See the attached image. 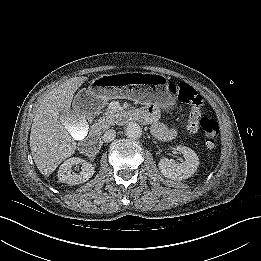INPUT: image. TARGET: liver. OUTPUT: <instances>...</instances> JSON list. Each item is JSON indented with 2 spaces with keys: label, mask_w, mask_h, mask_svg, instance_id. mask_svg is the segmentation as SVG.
Here are the masks:
<instances>
[{
  "label": "liver",
  "mask_w": 261,
  "mask_h": 261,
  "mask_svg": "<svg viewBox=\"0 0 261 261\" xmlns=\"http://www.w3.org/2000/svg\"><path fill=\"white\" fill-rule=\"evenodd\" d=\"M86 80L84 76L70 78L39 101L31 126L30 149L38 170L44 176H49L75 152L76 142L67 123L78 117L70 112V107L74 93Z\"/></svg>",
  "instance_id": "6515ba94"
}]
</instances>
